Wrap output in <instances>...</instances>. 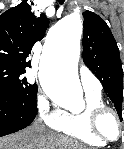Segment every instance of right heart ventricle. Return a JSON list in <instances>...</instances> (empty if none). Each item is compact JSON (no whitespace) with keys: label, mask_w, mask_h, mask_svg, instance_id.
Instances as JSON below:
<instances>
[{"label":"right heart ventricle","mask_w":124,"mask_h":149,"mask_svg":"<svg viewBox=\"0 0 124 149\" xmlns=\"http://www.w3.org/2000/svg\"><path fill=\"white\" fill-rule=\"evenodd\" d=\"M86 107L80 112H66L62 124L57 131L83 144L100 148L106 143L98 139L91 131L89 111L91 108L104 105L100 92H85Z\"/></svg>","instance_id":"1"}]
</instances>
